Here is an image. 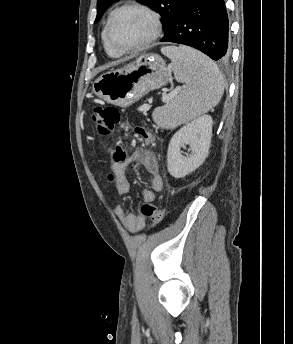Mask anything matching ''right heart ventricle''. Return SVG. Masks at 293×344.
Returning a JSON list of instances; mask_svg holds the SVG:
<instances>
[{"instance_id": "1", "label": "right heart ventricle", "mask_w": 293, "mask_h": 344, "mask_svg": "<svg viewBox=\"0 0 293 344\" xmlns=\"http://www.w3.org/2000/svg\"><path fill=\"white\" fill-rule=\"evenodd\" d=\"M102 40H103V45L106 53L108 54L109 57L111 58H119L121 54L113 51L107 44L106 39H105V34H104V29L102 31Z\"/></svg>"}]
</instances>
